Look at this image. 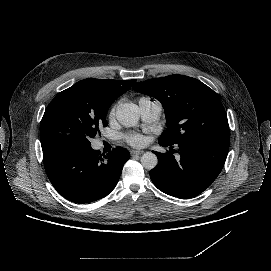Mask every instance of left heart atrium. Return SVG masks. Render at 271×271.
Segmentation results:
<instances>
[{
    "label": "left heart atrium",
    "mask_w": 271,
    "mask_h": 271,
    "mask_svg": "<svg viewBox=\"0 0 271 271\" xmlns=\"http://www.w3.org/2000/svg\"><path fill=\"white\" fill-rule=\"evenodd\" d=\"M124 140L134 147H141L146 143V137L140 133L130 132L123 136Z\"/></svg>",
    "instance_id": "obj_1"
}]
</instances>
